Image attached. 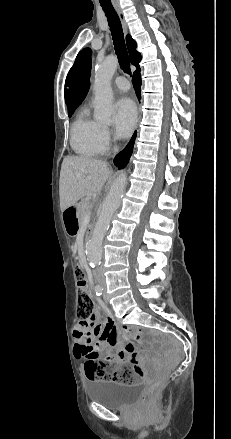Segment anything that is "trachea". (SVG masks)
Instances as JSON below:
<instances>
[{"label": "trachea", "mask_w": 231, "mask_h": 439, "mask_svg": "<svg viewBox=\"0 0 231 439\" xmlns=\"http://www.w3.org/2000/svg\"><path fill=\"white\" fill-rule=\"evenodd\" d=\"M101 7L107 17L115 53L119 60L120 68L127 74H131L130 61L126 49L124 34L120 19L111 3L101 2Z\"/></svg>", "instance_id": "trachea-1"}]
</instances>
